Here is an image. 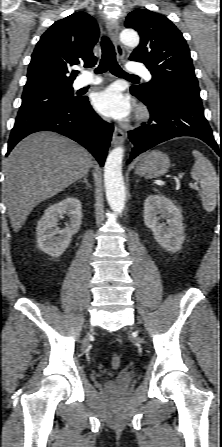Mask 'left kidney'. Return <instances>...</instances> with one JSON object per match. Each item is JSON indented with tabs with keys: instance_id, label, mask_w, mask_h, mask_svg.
<instances>
[{
	"instance_id": "obj_1",
	"label": "left kidney",
	"mask_w": 222,
	"mask_h": 447,
	"mask_svg": "<svg viewBox=\"0 0 222 447\" xmlns=\"http://www.w3.org/2000/svg\"><path fill=\"white\" fill-rule=\"evenodd\" d=\"M144 223L165 250L177 252L185 240L181 210L164 195H149L144 202ZM165 219L166 223H160Z\"/></svg>"
}]
</instances>
